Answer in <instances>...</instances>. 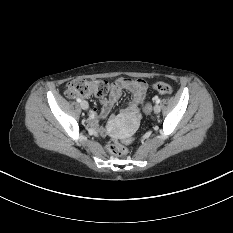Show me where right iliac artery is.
I'll use <instances>...</instances> for the list:
<instances>
[{"label":"right iliac artery","mask_w":233,"mask_h":233,"mask_svg":"<svg viewBox=\"0 0 233 233\" xmlns=\"http://www.w3.org/2000/svg\"><path fill=\"white\" fill-rule=\"evenodd\" d=\"M77 102H79V103H80V102H81V99H80V98H77Z\"/></svg>","instance_id":"82829eb1"}]
</instances>
